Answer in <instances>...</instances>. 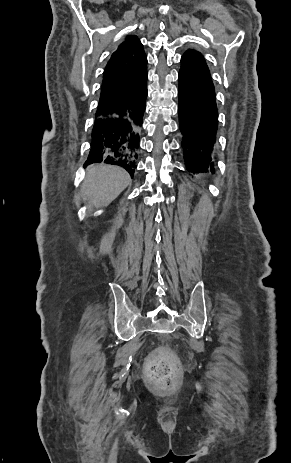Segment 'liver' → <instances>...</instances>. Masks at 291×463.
<instances>
[{
  "mask_svg": "<svg viewBox=\"0 0 291 463\" xmlns=\"http://www.w3.org/2000/svg\"><path fill=\"white\" fill-rule=\"evenodd\" d=\"M130 175L122 168L97 164L87 168L81 187L84 201L97 208L108 206L130 184Z\"/></svg>",
  "mask_w": 291,
  "mask_h": 463,
  "instance_id": "obj_1",
  "label": "liver"
}]
</instances>
